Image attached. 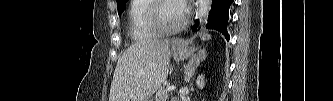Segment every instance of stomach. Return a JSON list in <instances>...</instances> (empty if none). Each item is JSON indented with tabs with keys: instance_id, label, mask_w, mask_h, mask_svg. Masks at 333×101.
Returning a JSON list of instances; mask_svg holds the SVG:
<instances>
[{
	"instance_id": "1",
	"label": "stomach",
	"mask_w": 333,
	"mask_h": 101,
	"mask_svg": "<svg viewBox=\"0 0 333 101\" xmlns=\"http://www.w3.org/2000/svg\"><path fill=\"white\" fill-rule=\"evenodd\" d=\"M195 51L196 47L192 40L172 42V54L175 61H183L191 57Z\"/></svg>"
}]
</instances>
